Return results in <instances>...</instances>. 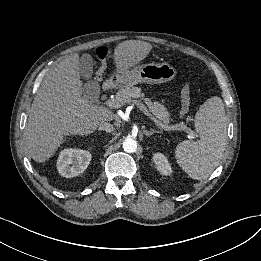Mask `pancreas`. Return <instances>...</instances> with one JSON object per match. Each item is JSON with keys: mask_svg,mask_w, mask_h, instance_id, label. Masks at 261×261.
Wrapping results in <instances>:
<instances>
[{"mask_svg": "<svg viewBox=\"0 0 261 261\" xmlns=\"http://www.w3.org/2000/svg\"><path fill=\"white\" fill-rule=\"evenodd\" d=\"M137 98H144V94L141 93V88L129 86L120 89L115 97V99L119 100L122 105L134 104L136 101L135 99ZM143 100L147 104L149 112L151 113L156 124H163L165 126H168V123L170 121V114L167 111L166 107L160 102L152 101L149 98H144ZM177 125L179 126V128H182L181 130L188 131V128L183 123Z\"/></svg>", "mask_w": 261, "mask_h": 261, "instance_id": "1", "label": "pancreas"}]
</instances>
